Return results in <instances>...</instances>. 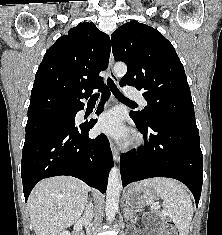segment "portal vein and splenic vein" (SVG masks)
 Segmentation results:
<instances>
[{
	"instance_id": "1",
	"label": "portal vein and splenic vein",
	"mask_w": 222,
	"mask_h": 235,
	"mask_svg": "<svg viewBox=\"0 0 222 235\" xmlns=\"http://www.w3.org/2000/svg\"><path fill=\"white\" fill-rule=\"evenodd\" d=\"M158 208H159V206H155V207H154V209H158Z\"/></svg>"
}]
</instances>
